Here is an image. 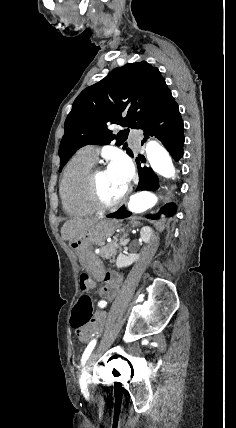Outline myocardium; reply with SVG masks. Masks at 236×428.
<instances>
[{"label": "myocardium", "mask_w": 236, "mask_h": 428, "mask_svg": "<svg viewBox=\"0 0 236 428\" xmlns=\"http://www.w3.org/2000/svg\"><path fill=\"white\" fill-rule=\"evenodd\" d=\"M109 169L108 166H103L93 170L88 178V195L91 203L100 210H109L122 206L129 198L132 192V185H129L125 193L115 201H107L103 198L99 188L101 176Z\"/></svg>", "instance_id": "f54148a6"}]
</instances>
